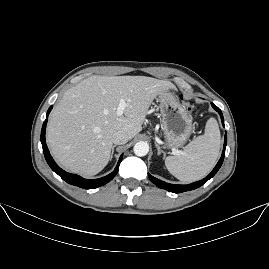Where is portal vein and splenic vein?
Here are the masks:
<instances>
[{"instance_id":"1","label":"portal vein and splenic vein","mask_w":269,"mask_h":269,"mask_svg":"<svg viewBox=\"0 0 269 269\" xmlns=\"http://www.w3.org/2000/svg\"><path fill=\"white\" fill-rule=\"evenodd\" d=\"M127 107L126 101L124 99H120L119 105L116 110L117 116H122L124 109Z\"/></svg>"}]
</instances>
